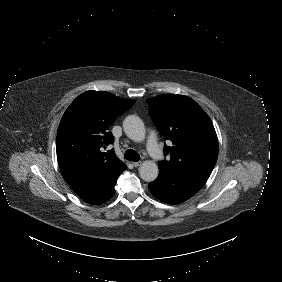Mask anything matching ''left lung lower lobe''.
Masks as SVG:
<instances>
[{
  "label": "left lung lower lobe",
  "mask_w": 282,
  "mask_h": 282,
  "mask_svg": "<svg viewBox=\"0 0 282 282\" xmlns=\"http://www.w3.org/2000/svg\"><path fill=\"white\" fill-rule=\"evenodd\" d=\"M211 171L159 169L157 179L149 183L150 192L160 201L179 204L196 194L209 178Z\"/></svg>",
  "instance_id": "left-lung-lower-lobe-1"
}]
</instances>
